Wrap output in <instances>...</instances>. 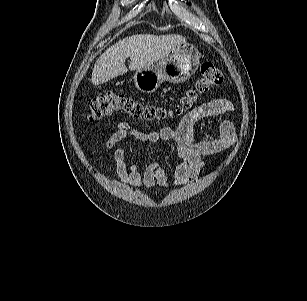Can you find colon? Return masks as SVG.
Returning a JSON list of instances; mask_svg holds the SVG:
<instances>
[{"mask_svg": "<svg viewBox=\"0 0 307 301\" xmlns=\"http://www.w3.org/2000/svg\"><path fill=\"white\" fill-rule=\"evenodd\" d=\"M200 74L201 77L195 85L180 99L176 106V113L189 110L200 96L220 85L224 79L223 68L209 62L201 65ZM119 111L149 121L162 119L167 115L162 107L142 104L123 93L109 91L95 96L90 101L88 117L90 120H101Z\"/></svg>", "mask_w": 307, "mask_h": 301, "instance_id": "5ec220e1", "label": "colon"}]
</instances>
